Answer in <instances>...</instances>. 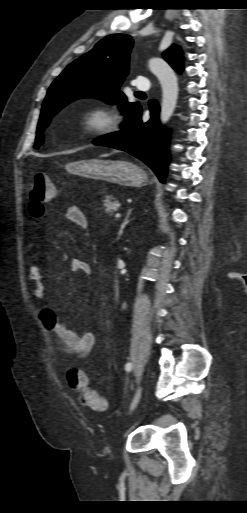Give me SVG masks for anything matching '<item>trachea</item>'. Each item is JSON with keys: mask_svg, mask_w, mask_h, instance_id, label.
<instances>
[{"mask_svg": "<svg viewBox=\"0 0 247 513\" xmlns=\"http://www.w3.org/2000/svg\"><path fill=\"white\" fill-rule=\"evenodd\" d=\"M136 93H138V94H143V92H140V91H137ZM246 278H247V277H246Z\"/></svg>", "mask_w": 247, "mask_h": 513, "instance_id": "1", "label": "trachea"}]
</instances>
